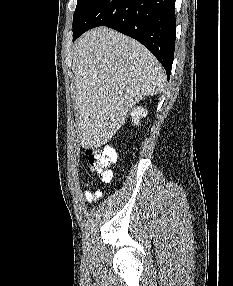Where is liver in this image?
Here are the masks:
<instances>
[{"label": "liver", "instance_id": "liver-1", "mask_svg": "<svg viewBox=\"0 0 233 286\" xmlns=\"http://www.w3.org/2000/svg\"><path fill=\"white\" fill-rule=\"evenodd\" d=\"M72 70L79 139L89 149L107 143L134 105L161 93L166 82L163 67L148 49L106 27L75 42Z\"/></svg>", "mask_w": 233, "mask_h": 286}]
</instances>
